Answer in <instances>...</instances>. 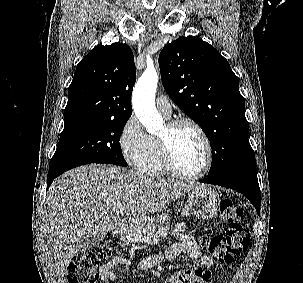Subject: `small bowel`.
<instances>
[{"mask_svg": "<svg viewBox=\"0 0 303 283\" xmlns=\"http://www.w3.org/2000/svg\"><path fill=\"white\" fill-rule=\"evenodd\" d=\"M178 241L172 244L167 250L159 253L151 259H146L138 266L140 270L149 269L154 263L161 261L164 258L169 260L176 259L182 255H188L192 260L196 261L198 266L205 271L200 283H213L214 274L211 270L214 266L212 258L208 255L202 254L196 239L186 232V223L182 222L177 226ZM129 266V260L117 256L110 257L99 268V281L107 283L115 280L113 270L119 266Z\"/></svg>", "mask_w": 303, "mask_h": 283, "instance_id": "obj_1", "label": "small bowel"}]
</instances>
